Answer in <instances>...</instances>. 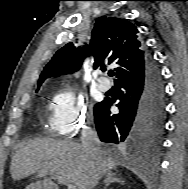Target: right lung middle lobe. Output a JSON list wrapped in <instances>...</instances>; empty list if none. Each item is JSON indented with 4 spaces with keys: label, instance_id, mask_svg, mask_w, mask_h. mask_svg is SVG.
Wrapping results in <instances>:
<instances>
[{
    "label": "right lung middle lobe",
    "instance_id": "obj_1",
    "mask_svg": "<svg viewBox=\"0 0 188 189\" xmlns=\"http://www.w3.org/2000/svg\"><path fill=\"white\" fill-rule=\"evenodd\" d=\"M98 104H99V103H98ZM98 104L95 105V107H94V111H95V109L98 107Z\"/></svg>",
    "mask_w": 188,
    "mask_h": 189
}]
</instances>
